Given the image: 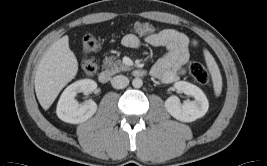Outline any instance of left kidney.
Wrapping results in <instances>:
<instances>
[{"instance_id": "left-kidney-1", "label": "left kidney", "mask_w": 267, "mask_h": 166, "mask_svg": "<svg viewBox=\"0 0 267 166\" xmlns=\"http://www.w3.org/2000/svg\"><path fill=\"white\" fill-rule=\"evenodd\" d=\"M174 88L194 97V100L181 103L178 97L170 96L165 101V108L171 116L182 122H192L206 114L209 108L208 99L199 87L186 81H178Z\"/></svg>"}]
</instances>
